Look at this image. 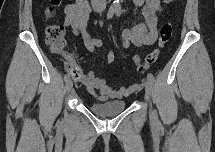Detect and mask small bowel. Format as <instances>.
I'll return each instance as SVG.
<instances>
[{"mask_svg": "<svg viewBox=\"0 0 215 152\" xmlns=\"http://www.w3.org/2000/svg\"><path fill=\"white\" fill-rule=\"evenodd\" d=\"M136 5L142 6V13L145 23L134 24L130 29L121 32V46L127 49L130 45L149 46L157 40V12L160 7L159 0H134ZM91 12L90 4L87 0H76L65 8V27L70 29L75 35L80 36L89 52H95L102 48V41L91 37L86 32V25ZM114 53L108 51L105 61L111 63L114 60ZM134 62H140L138 55L133 56ZM81 82L88 92L96 99L103 101L106 99H119L141 90L143 82H138L129 87L113 88L105 79L97 77L92 71L81 73L76 78Z\"/></svg>", "mask_w": 215, "mask_h": 152, "instance_id": "c3829d8e", "label": "small bowel"}]
</instances>
